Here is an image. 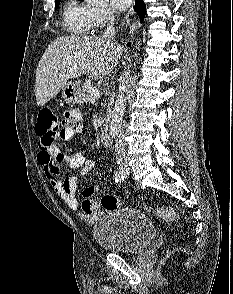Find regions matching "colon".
Masks as SVG:
<instances>
[{"label": "colon", "instance_id": "1", "mask_svg": "<svg viewBox=\"0 0 233 294\" xmlns=\"http://www.w3.org/2000/svg\"><path fill=\"white\" fill-rule=\"evenodd\" d=\"M61 121L56 113L49 109H42L37 118L35 125V131L39 136L40 149H51L54 146V142L58 139L60 134L64 131L61 126ZM49 157V154H47ZM101 206L106 210H114L119 207V201L116 197L106 195L101 200ZM155 215L166 222H173L178 219L176 212L170 207H157L153 209Z\"/></svg>", "mask_w": 233, "mask_h": 294}]
</instances>
